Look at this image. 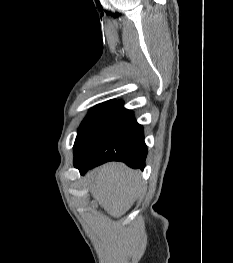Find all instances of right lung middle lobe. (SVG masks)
Returning a JSON list of instances; mask_svg holds the SVG:
<instances>
[{"instance_id":"dd1d6c3e","label":"right lung middle lobe","mask_w":233,"mask_h":263,"mask_svg":"<svg viewBox=\"0 0 233 263\" xmlns=\"http://www.w3.org/2000/svg\"><path fill=\"white\" fill-rule=\"evenodd\" d=\"M115 102L116 100L107 101L92 108L78 129L76 141L88 134L107 114Z\"/></svg>"}]
</instances>
